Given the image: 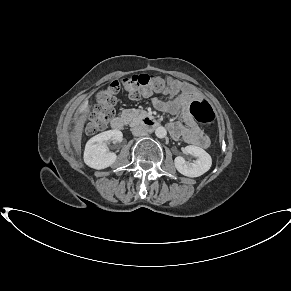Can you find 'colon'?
Returning <instances> with one entry per match:
<instances>
[{
    "label": "colon",
    "mask_w": 291,
    "mask_h": 291,
    "mask_svg": "<svg viewBox=\"0 0 291 291\" xmlns=\"http://www.w3.org/2000/svg\"><path fill=\"white\" fill-rule=\"evenodd\" d=\"M168 79L154 74H135L113 81L102 89L96 97V104L88 112V133H95L106 128L108 122L115 114L117 94L124 88L132 99L151 96L163 92L169 86ZM194 118L207 128H212L215 123V114L206 101L195 100L190 106Z\"/></svg>",
    "instance_id": "5ec220e1"
}]
</instances>
